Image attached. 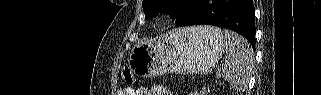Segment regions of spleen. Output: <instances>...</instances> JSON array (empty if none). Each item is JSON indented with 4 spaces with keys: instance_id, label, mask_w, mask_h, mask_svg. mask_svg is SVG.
I'll list each match as a JSON object with an SVG mask.
<instances>
[{
    "instance_id": "obj_1",
    "label": "spleen",
    "mask_w": 321,
    "mask_h": 95,
    "mask_svg": "<svg viewBox=\"0 0 321 95\" xmlns=\"http://www.w3.org/2000/svg\"><path fill=\"white\" fill-rule=\"evenodd\" d=\"M203 33L216 40H221L227 55V62L222 71L223 77L232 87L242 90L247 86L250 71L254 64V53L249 42L235 32L204 26Z\"/></svg>"
}]
</instances>
